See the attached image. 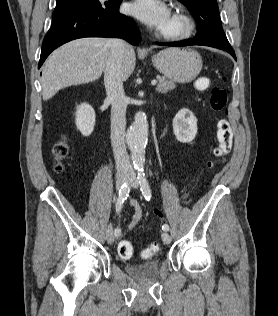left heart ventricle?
Here are the masks:
<instances>
[{"instance_id":"obj_1","label":"left heart ventricle","mask_w":278,"mask_h":316,"mask_svg":"<svg viewBox=\"0 0 278 316\" xmlns=\"http://www.w3.org/2000/svg\"><path fill=\"white\" fill-rule=\"evenodd\" d=\"M176 26V22L169 16L168 20L162 28L164 29H173Z\"/></svg>"}]
</instances>
